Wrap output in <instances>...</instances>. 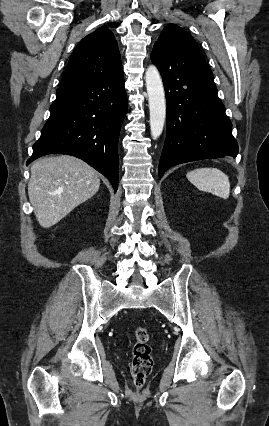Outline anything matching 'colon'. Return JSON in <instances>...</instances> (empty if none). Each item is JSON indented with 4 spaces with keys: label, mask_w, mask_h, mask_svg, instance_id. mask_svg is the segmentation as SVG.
I'll return each instance as SVG.
<instances>
[{
    "label": "colon",
    "mask_w": 269,
    "mask_h": 426,
    "mask_svg": "<svg viewBox=\"0 0 269 426\" xmlns=\"http://www.w3.org/2000/svg\"><path fill=\"white\" fill-rule=\"evenodd\" d=\"M151 346L149 333L145 327L139 326L134 331L132 350V374L136 389H141L152 369Z\"/></svg>",
    "instance_id": "1"
}]
</instances>
